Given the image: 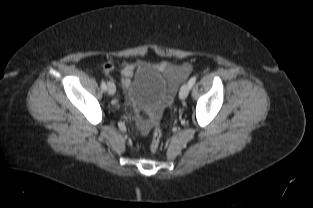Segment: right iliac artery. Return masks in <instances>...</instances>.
<instances>
[{"label": "right iliac artery", "instance_id": "obj_1", "mask_svg": "<svg viewBox=\"0 0 313 208\" xmlns=\"http://www.w3.org/2000/svg\"><path fill=\"white\" fill-rule=\"evenodd\" d=\"M101 88H102V90H104V91L107 89V86H106L105 81H102V82H101Z\"/></svg>", "mask_w": 313, "mask_h": 208}]
</instances>
